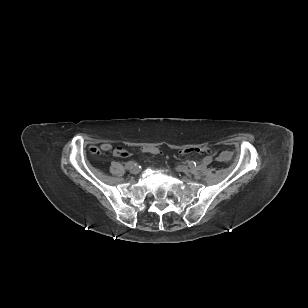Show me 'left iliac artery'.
I'll return each mask as SVG.
<instances>
[{
  "label": "left iliac artery",
  "instance_id": "44dca946",
  "mask_svg": "<svg viewBox=\"0 0 308 308\" xmlns=\"http://www.w3.org/2000/svg\"><path fill=\"white\" fill-rule=\"evenodd\" d=\"M211 159L210 158H208V157H206V158H204L202 161H201V166L202 167H207L208 165H210L211 164ZM194 164H195V166H196V163L194 162Z\"/></svg>",
  "mask_w": 308,
  "mask_h": 308
}]
</instances>
